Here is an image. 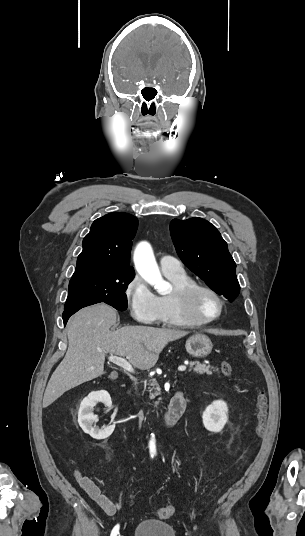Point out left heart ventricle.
Here are the masks:
<instances>
[{"instance_id":"obj_1","label":"left heart ventricle","mask_w":305,"mask_h":536,"mask_svg":"<svg viewBox=\"0 0 305 536\" xmlns=\"http://www.w3.org/2000/svg\"><path fill=\"white\" fill-rule=\"evenodd\" d=\"M220 310V300L208 292L200 293L193 303V311L198 319L213 318L219 314Z\"/></svg>"}]
</instances>
